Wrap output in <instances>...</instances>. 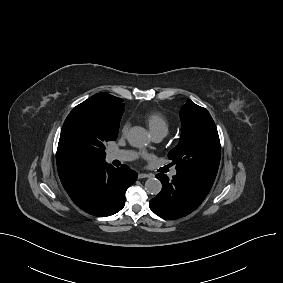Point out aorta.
Returning <instances> with one entry per match:
<instances>
[{
	"instance_id": "obj_1",
	"label": "aorta",
	"mask_w": 283,
	"mask_h": 283,
	"mask_svg": "<svg viewBox=\"0 0 283 283\" xmlns=\"http://www.w3.org/2000/svg\"><path fill=\"white\" fill-rule=\"evenodd\" d=\"M128 142L131 146L142 148L149 144L150 137L148 132L139 126H134L130 129L128 136ZM162 189V184L157 178H149L145 182V190L148 194L157 195Z\"/></svg>"
}]
</instances>
